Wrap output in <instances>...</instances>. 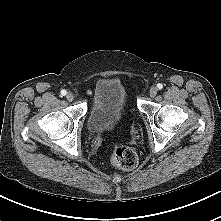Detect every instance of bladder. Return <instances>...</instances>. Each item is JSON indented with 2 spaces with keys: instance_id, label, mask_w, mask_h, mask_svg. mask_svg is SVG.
Instances as JSON below:
<instances>
[{
  "instance_id": "1",
  "label": "bladder",
  "mask_w": 221,
  "mask_h": 221,
  "mask_svg": "<svg viewBox=\"0 0 221 221\" xmlns=\"http://www.w3.org/2000/svg\"><path fill=\"white\" fill-rule=\"evenodd\" d=\"M126 103V91L115 79L100 80L87 120L90 133L102 135L122 123Z\"/></svg>"
}]
</instances>
